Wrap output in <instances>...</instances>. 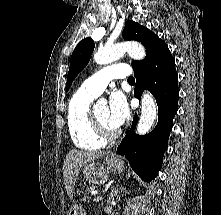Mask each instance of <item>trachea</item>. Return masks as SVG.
<instances>
[{
  "mask_svg": "<svg viewBox=\"0 0 221 215\" xmlns=\"http://www.w3.org/2000/svg\"><path fill=\"white\" fill-rule=\"evenodd\" d=\"M128 81H135L134 77H129Z\"/></svg>",
  "mask_w": 221,
  "mask_h": 215,
  "instance_id": "1",
  "label": "trachea"
}]
</instances>
